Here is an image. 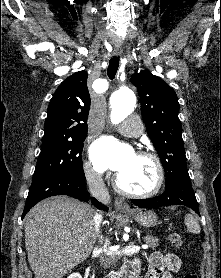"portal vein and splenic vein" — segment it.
I'll return each mask as SVG.
<instances>
[{"label":"portal vein and splenic vein","instance_id":"portal-vein-and-splenic-vein-1","mask_svg":"<svg viewBox=\"0 0 221 278\" xmlns=\"http://www.w3.org/2000/svg\"><path fill=\"white\" fill-rule=\"evenodd\" d=\"M143 248H148V245H143Z\"/></svg>","mask_w":221,"mask_h":278}]
</instances>
